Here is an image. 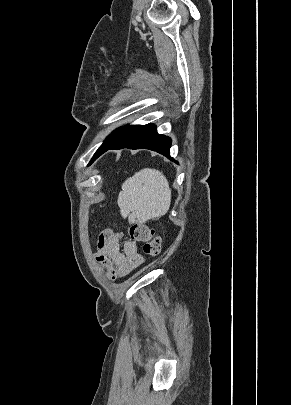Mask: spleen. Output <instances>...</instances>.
Wrapping results in <instances>:
<instances>
[{"label":"spleen","mask_w":291,"mask_h":405,"mask_svg":"<svg viewBox=\"0 0 291 405\" xmlns=\"http://www.w3.org/2000/svg\"><path fill=\"white\" fill-rule=\"evenodd\" d=\"M171 203V189L162 172L144 168L125 180L118 196L123 217L139 222L165 215Z\"/></svg>","instance_id":"spleen-1"}]
</instances>
